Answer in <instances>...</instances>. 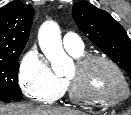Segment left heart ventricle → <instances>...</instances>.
<instances>
[{
  "label": "left heart ventricle",
  "mask_w": 131,
  "mask_h": 115,
  "mask_svg": "<svg viewBox=\"0 0 131 115\" xmlns=\"http://www.w3.org/2000/svg\"><path fill=\"white\" fill-rule=\"evenodd\" d=\"M66 77L77 81L84 92L102 98H117L123 93V84L118 74L101 62L93 63L82 73L77 72L74 66Z\"/></svg>",
  "instance_id": "b2bd125f"
}]
</instances>
